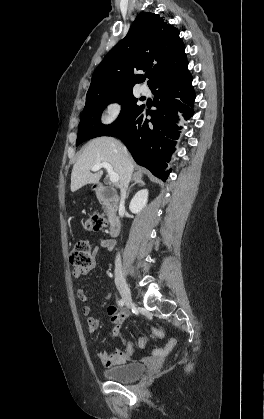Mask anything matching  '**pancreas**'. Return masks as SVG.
Instances as JSON below:
<instances>
[{
  "instance_id": "pancreas-1",
  "label": "pancreas",
  "mask_w": 264,
  "mask_h": 419,
  "mask_svg": "<svg viewBox=\"0 0 264 419\" xmlns=\"http://www.w3.org/2000/svg\"><path fill=\"white\" fill-rule=\"evenodd\" d=\"M105 211H108L107 207L104 208Z\"/></svg>"
}]
</instances>
